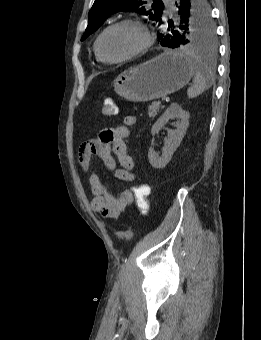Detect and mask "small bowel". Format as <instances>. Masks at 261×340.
<instances>
[{"mask_svg": "<svg viewBox=\"0 0 261 340\" xmlns=\"http://www.w3.org/2000/svg\"><path fill=\"white\" fill-rule=\"evenodd\" d=\"M135 123V116L126 115L122 125L102 129L97 138L82 142L77 149L79 164L89 173L91 207L106 218L120 217L133 202V193L131 189H125L119 195L111 194L96 172L95 160L100 159L119 180L133 182L134 161L127 152L125 140L129 136V127Z\"/></svg>", "mask_w": 261, "mask_h": 340, "instance_id": "c3829d8e", "label": "small bowel"}]
</instances>
